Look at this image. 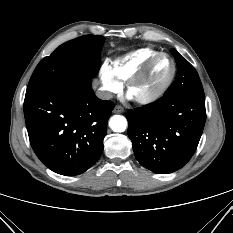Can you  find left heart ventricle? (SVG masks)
<instances>
[{
	"label": "left heart ventricle",
	"instance_id": "left-heart-ventricle-1",
	"mask_svg": "<svg viewBox=\"0 0 233 233\" xmlns=\"http://www.w3.org/2000/svg\"><path fill=\"white\" fill-rule=\"evenodd\" d=\"M172 64L168 58H160L153 66L149 75L140 83L136 84L130 94L133 97L144 96L155 90L170 75Z\"/></svg>",
	"mask_w": 233,
	"mask_h": 233
}]
</instances>
